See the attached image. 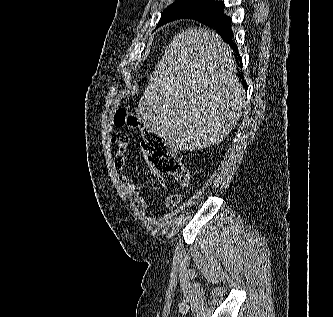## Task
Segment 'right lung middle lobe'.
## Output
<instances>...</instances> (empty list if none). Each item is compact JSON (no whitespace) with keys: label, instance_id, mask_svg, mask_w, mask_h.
Returning <instances> with one entry per match:
<instances>
[{"label":"right lung middle lobe","instance_id":"obj_1","mask_svg":"<svg viewBox=\"0 0 333 317\" xmlns=\"http://www.w3.org/2000/svg\"><path fill=\"white\" fill-rule=\"evenodd\" d=\"M223 7V2L215 0H177L164 10L158 26L176 19L192 18L200 14H208Z\"/></svg>","mask_w":333,"mask_h":317}]
</instances>
